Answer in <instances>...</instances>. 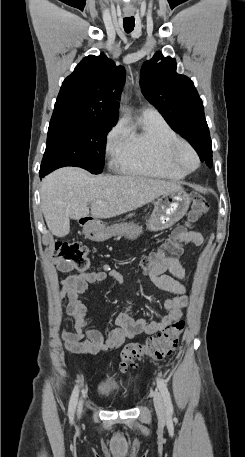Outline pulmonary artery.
<instances>
[{
  "mask_svg": "<svg viewBox=\"0 0 245 457\" xmlns=\"http://www.w3.org/2000/svg\"><path fill=\"white\" fill-rule=\"evenodd\" d=\"M141 112H142L143 115H147V116L148 115H158L159 114L158 111L152 106H143L141 108Z\"/></svg>",
  "mask_w": 245,
  "mask_h": 457,
  "instance_id": "1",
  "label": "pulmonary artery"
}]
</instances>
